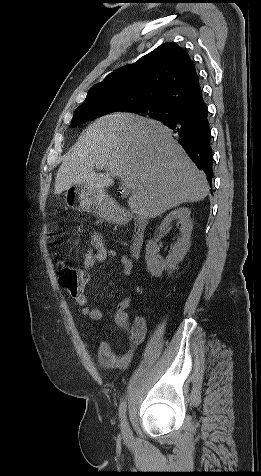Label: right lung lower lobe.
<instances>
[{
	"label": "right lung lower lobe",
	"instance_id": "98d812e1",
	"mask_svg": "<svg viewBox=\"0 0 261 476\" xmlns=\"http://www.w3.org/2000/svg\"><path fill=\"white\" fill-rule=\"evenodd\" d=\"M161 122L174 131L189 157L211 181L213 175L211 131L208 123V108L203 96L196 103L181 108L178 114L167 117Z\"/></svg>",
	"mask_w": 261,
	"mask_h": 476
}]
</instances>
